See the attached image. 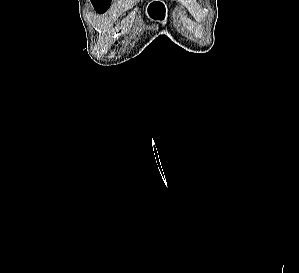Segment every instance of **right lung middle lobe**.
<instances>
[{"label": "right lung middle lobe", "instance_id": "dd1d6c3e", "mask_svg": "<svg viewBox=\"0 0 299 273\" xmlns=\"http://www.w3.org/2000/svg\"><path fill=\"white\" fill-rule=\"evenodd\" d=\"M91 2L99 14L106 12L111 5V0H91Z\"/></svg>", "mask_w": 299, "mask_h": 273}]
</instances>
